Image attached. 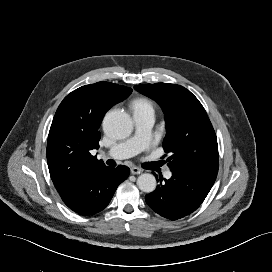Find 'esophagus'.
Here are the masks:
<instances>
[{
    "label": "esophagus",
    "instance_id": "1",
    "mask_svg": "<svg viewBox=\"0 0 272 272\" xmlns=\"http://www.w3.org/2000/svg\"><path fill=\"white\" fill-rule=\"evenodd\" d=\"M130 172H131V174L138 175V174H141L143 172V170L139 167H132L130 169Z\"/></svg>",
    "mask_w": 272,
    "mask_h": 272
}]
</instances>
